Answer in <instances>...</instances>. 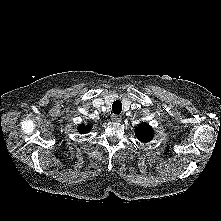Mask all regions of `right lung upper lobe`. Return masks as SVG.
Wrapping results in <instances>:
<instances>
[{
    "label": "right lung upper lobe",
    "mask_w": 221,
    "mask_h": 221,
    "mask_svg": "<svg viewBox=\"0 0 221 221\" xmlns=\"http://www.w3.org/2000/svg\"><path fill=\"white\" fill-rule=\"evenodd\" d=\"M89 128H90V127L80 125L78 131H79L81 134H84V133H87V132H88V129H89Z\"/></svg>",
    "instance_id": "obj_1"
}]
</instances>
